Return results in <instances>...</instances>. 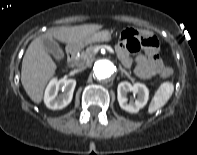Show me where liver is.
Wrapping results in <instances>:
<instances>
[{
  "instance_id": "1",
  "label": "liver",
  "mask_w": 197,
  "mask_h": 155,
  "mask_svg": "<svg viewBox=\"0 0 197 155\" xmlns=\"http://www.w3.org/2000/svg\"><path fill=\"white\" fill-rule=\"evenodd\" d=\"M102 28L89 24L73 27H59L35 38L27 48L22 61L21 82L35 103L43 99L44 89L56 71V64L45 50L42 40L55 38L68 45H75Z\"/></svg>"
}]
</instances>
